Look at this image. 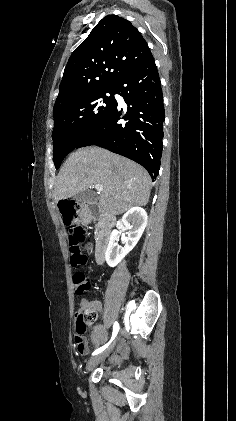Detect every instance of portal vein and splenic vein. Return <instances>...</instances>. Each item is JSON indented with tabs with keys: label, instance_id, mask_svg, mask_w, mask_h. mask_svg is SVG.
<instances>
[{
	"label": "portal vein and splenic vein",
	"instance_id": "portal-vein-and-splenic-vein-1",
	"mask_svg": "<svg viewBox=\"0 0 236 421\" xmlns=\"http://www.w3.org/2000/svg\"><path fill=\"white\" fill-rule=\"evenodd\" d=\"M93 186L96 188V190H103L102 184H93Z\"/></svg>",
	"mask_w": 236,
	"mask_h": 421
}]
</instances>
